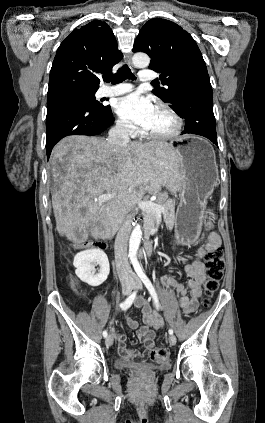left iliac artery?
<instances>
[{"mask_svg":"<svg viewBox=\"0 0 265 423\" xmlns=\"http://www.w3.org/2000/svg\"><path fill=\"white\" fill-rule=\"evenodd\" d=\"M134 269H135L137 275L140 277V279L144 283V285L146 286V288L148 289L149 293L151 294L157 309H159L160 305H159V299H158L157 293H156L151 281L149 280V278L143 272L139 262L134 263ZM168 332H169L170 335H172L173 329L170 328Z\"/></svg>","mask_w":265,"mask_h":423,"instance_id":"1","label":"left iliac artery"}]
</instances>
